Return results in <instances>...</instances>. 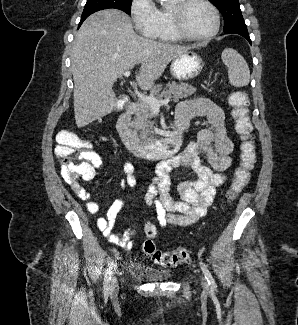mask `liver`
Wrapping results in <instances>:
<instances>
[{
  "mask_svg": "<svg viewBox=\"0 0 298 325\" xmlns=\"http://www.w3.org/2000/svg\"><path fill=\"white\" fill-rule=\"evenodd\" d=\"M190 48L139 36L130 16L118 8H105L88 16L71 48L77 126L113 112L117 98L112 86L117 78H123L125 70L141 62L137 84L153 88L169 62Z\"/></svg>",
  "mask_w": 298,
  "mask_h": 325,
  "instance_id": "1",
  "label": "liver"
}]
</instances>
